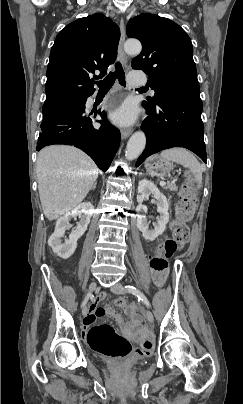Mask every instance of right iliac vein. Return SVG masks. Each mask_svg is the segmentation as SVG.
<instances>
[{"label":"right iliac vein","instance_id":"63e3f726","mask_svg":"<svg viewBox=\"0 0 243 404\" xmlns=\"http://www.w3.org/2000/svg\"><path fill=\"white\" fill-rule=\"evenodd\" d=\"M96 282L93 281L90 285H89V289H88V294H91L95 289H96ZM88 313V307L86 305L83 306L82 308V315L86 316Z\"/></svg>","mask_w":243,"mask_h":404}]
</instances>
